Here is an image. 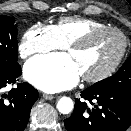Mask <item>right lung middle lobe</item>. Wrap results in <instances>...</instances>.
I'll return each instance as SVG.
<instances>
[{"label":"right lung middle lobe","mask_w":131,"mask_h":131,"mask_svg":"<svg viewBox=\"0 0 131 131\" xmlns=\"http://www.w3.org/2000/svg\"><path fill=\"white\" fill-rule=\"evenodd\" d=\"M9 16H0V74L10 73L20 65L17 62V25Z\"/></svg>","instance_id":"1"}]
</instances>
